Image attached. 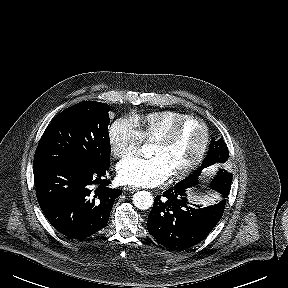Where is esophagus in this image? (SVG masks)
<instances>
[{
  "instance_id": "34e87169",
  "label": "esophagus",
  "mask_w": 288,
  "mask_h": 288,
  "mask_svg": "<svg viewBox=\"0 0 288 288\" xmlns=\"http://www.w3.org/2000/svg\"><path fill=\"white\" fill-rule=\"evenodd\" d=\"M124 190L128 191V192H135L138 190V188L133 187V186H126V187H124Z\"/></svg>"
}]
</instances>
